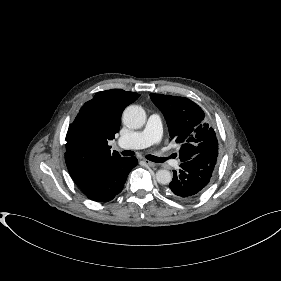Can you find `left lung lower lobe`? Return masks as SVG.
<instances>
[{
    "mask_svg": "<svg viewBox=\"0 0 281 281\" xmlns=\"http://www.w3.org/2000/svg\"><path fill=\"white\" fill-rule=\"evenodd\" d=\"M218 152L201 153L182 162L178 171L173 170L170 190L181 200L197 197L209 183L216 167Z\"/></svg>",
    "mask_w": 281,
    "mask_h": 281,
    "instance_id": "obj_1",
    "label": "left lung lower lobe"
}]
</instances>
